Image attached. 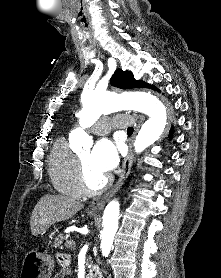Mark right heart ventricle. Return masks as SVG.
I'll return each instance as SVG.
<instances>
[{"label":"right heart ventricle","instance_id":"obj_1","mask_svg":"<svg viewBox=\"0 0 221 278\" xmlns=\"http://www.w3.org/2000/svg\"><path fill=\"white\" fill-rule=\"evenodd\" d=\"M76 154L65 138H58L48 156V172L53 187L62 195L81 199L84 196L76 171Z\"/></svg>","mask_w":221,"mask_h":278}]
</instances>
